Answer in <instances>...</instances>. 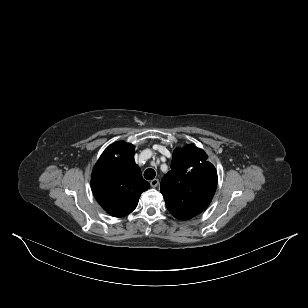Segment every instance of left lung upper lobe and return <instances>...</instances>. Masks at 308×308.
I'll list each match as a JSON object with an SVG mask.
<instances>
[{
  "instance_id": "1",
  "label": "left lung upper lobe",
  "mask_w": 308,
  "mask_h": 308,
  "mask_svg": "<svg viewBox=\"0 0 308 308\" xmlns=\"http://www.w3.org/2000/svg\"><path fill=\"white\" fill-rule=\"evenodd\" d=\"M217 187V172L206 153L190 144L173 152L171 170L164 175L160 191L169 212L189 220L210 204Z\"/></svg>"
}]
</instances>
